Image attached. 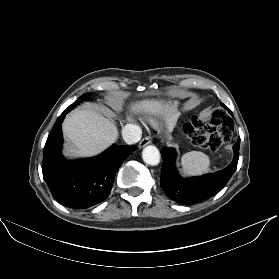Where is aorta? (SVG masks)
<instances>
[{"label":"aorta","mask_w":279,"mask_h":279,"mask_svg":"<svg viewBox=\"0 0 279 279\" xmlns=\"http://www.w3.org/2000/svg\"><path fill=\"white\" fill-rule=\"evenodd\" d=\"M142 158L145 163L156 166L160 162V152L157 147L149 145L143 149Z\"/></svg>","instance_id":"aorta-1"}]
</instances>
